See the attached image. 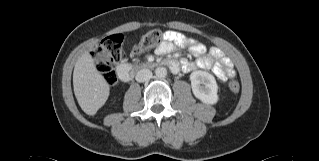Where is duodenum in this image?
Instances as JSON below:
<instances>
[{
	"mask_svg": "<svg viewBox=\"0 0 319 161\" xmlns=\"http://www.w3.org/2000/svg\"><path fill=\"white\" fill-rule=\"evenodd\" d=\"M154 65H155V63H143V64H138V65L132 67V66L128 65L127 63H120L117 67L118 78L122 82H128L129 80L132 79L135 70H137V69H151ZM166 65L174 73L179 71V64L174 60H170V61L166 62Z\"/></svg>",
	"mask_w": 319,
	"mask_h": 161,
	"instance_id": "1",
	"label": "duodenum"
}]
</instances>
